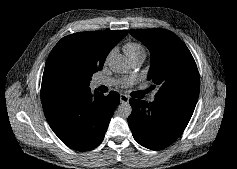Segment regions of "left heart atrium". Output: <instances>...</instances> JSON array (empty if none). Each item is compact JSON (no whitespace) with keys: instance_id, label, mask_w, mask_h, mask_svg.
<instances>
[{"instance_id":"1","label":"left heart atrium","mask_w":237,"mask_h":169,"mask_svg":"<svg viewBox=\"0 0 237 169\" xmlns=\"http://www.w3.org/2000/svg\"><path fill=\"white\" fill-rule=\"evenodd\" d=\"M130 82H131V79H124V80L122 81V84H123V85H128Z\"/></svg>"}]
</instances>
